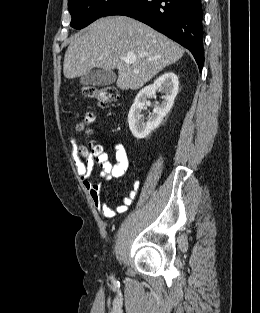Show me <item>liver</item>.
<instances>
[{
    "mask_svg": "<svg viewBox=\"0 0 260 313\" xmlns=\"http://www.w3.org/2000/svg\"><path fill=\"white\" fill-rule=\"evenodd\" d=\"M184 54L177 43L148 25L126 16L98 19L76 35L67 48L63 73L68 79L94 68L118 70L116 85L136 90ZM134 56L131 64L121 58Z\"/></svg>",
    "mask_w": 260,
    "mask_h": 313,
    "instance_id": "6515ba94",
    "label": "liver"
}]
</instances>
